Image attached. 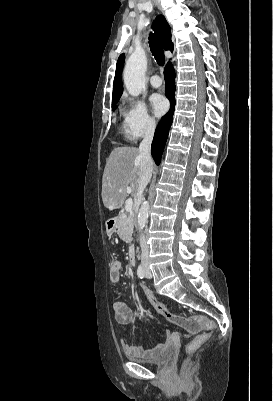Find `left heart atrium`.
I'll use <instances>...</instances> for the list:
<instances>
[{"label":"left heart atrium","mask_w":273,"mask_h":401,"mask_svg":"<svg viewBox=\"0 0 273 401\" xmlns=\"http://www.w3.org/2000/svg\"><path fill=\"white\" fill-rule=\"evenodd\" d=\"M149 100L152 111L156 116L163 115L169 108L167 100L161 95L154 94Z\"/></svg>","instance_id":"left-heart-atrium-1"}]
</instances>
